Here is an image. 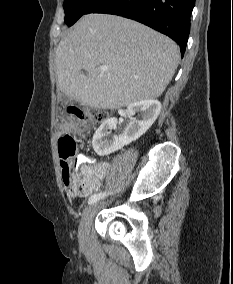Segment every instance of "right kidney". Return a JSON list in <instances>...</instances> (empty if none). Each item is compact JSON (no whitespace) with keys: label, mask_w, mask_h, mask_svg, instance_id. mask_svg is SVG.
<instances>
[{"label":"right kidney","mask_w":233,"mask_h":284,"mask_svg":"<svg viewBox=\"0 0 233 284\" xmlns=\"http://www.w3.org/2000/svg\"><path fill=\"white\" fill-rule=\"evenodd\" d=\"M161 111V103L158 100L148 99L132 103L128 106V116L139 113L141 119L131 118L120 136H112L111 130L117 124L116 118L104 121L95 132L92 139L94 151L99 156L109 155L125 145L141 137L155 122Z\"/></svg>","instance_id":"1"}]
</instances>
